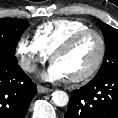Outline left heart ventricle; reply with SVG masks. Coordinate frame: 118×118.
I'll list each match as a JSON object with an SVG mask.
<instances>
[{
  "instance_id": "left-heart-ventricle-1",
  "label": "left heart ventricle",
  "mask_w": 118,
  "mask_h": 118,
  "mask_svg": "<svg viewBox=\"0 0 118 118\" xmlns=\"http://www.w3.org/2000/svg\"><path fill=\"white\" fill-rule=\"evenodd\" d=\"M99 54V43L95 36L89 35L72 50L55 58L68 77L79 76L87 72L95 63Z\"/></svg>"
}]
</instances>
